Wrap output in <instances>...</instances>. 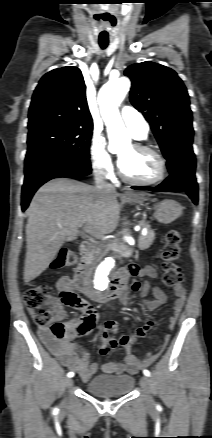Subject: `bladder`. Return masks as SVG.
<instances>
[{
    "label": "bladder",
    "mask_w": 212,
    "mask_h": 438,
    "mask_svg": "<svg viewBox=\"0 0 212 438\" xmlns=\"http://www.w3.org/2000/svg\"><path fill=\"white\" fill-rule=\"evenodd\" d=\"M135 384L131 375H98L88 381L85 389L92 395L99 397H116L129 394Z\"/></svg>",
    "instance_id": "obj_1"
}]
</instances>
